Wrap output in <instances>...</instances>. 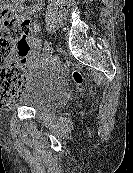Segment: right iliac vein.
I'll return each instance as SVG.
<instances>
[{
    "label": "right iliac vein",
    "mask_w": 133,
    "mask_h": 173,
    "mask_svg": "<svg viewBox=\"0 0 133 173\" xmlns=\"http://www.w3.org/2000/svg\"><path fill=\"white\" fill-rule=\"evenodd\" d=\"M53 53V48L50 47V49L47 51V55L46 57L43 59L42 64H46L48 62V60L50 59V57L52 56Z\"/></svg>",
    "instance_id": "63e3f726"
}]
</instances>
